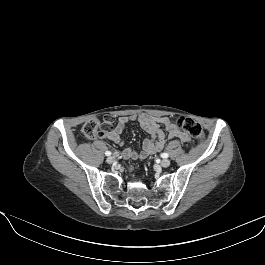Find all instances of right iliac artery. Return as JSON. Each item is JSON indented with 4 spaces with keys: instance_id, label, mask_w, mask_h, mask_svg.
Segmentation results:
<instances>
[{
    "instance_id": "82829eb1",
    "label": "right iliac artery",
    "mask_w": 265,
    "mask_h": 265,
    "mask_svg": "<svg viewBox=\"0 0 265 265\" xmlns=\"http://www.w3.org/2000/svg\"><path fill=\"white\" fill-rule=\"evenodd\" d=\"M105 154H106V156H110L111 152L110 151H106Z\"/></svg>"
}]
</instances>
